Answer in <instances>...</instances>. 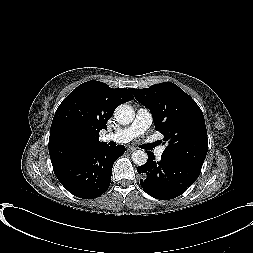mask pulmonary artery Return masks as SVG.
<instances>
[{
  "label": "pulmonary artery",
  "instance_id": "1",
  "mask_svg": "<svg viewBox=\"0 0 253 253\" xmlns=\"http://www.w3.org/2000/svg\"><path fill=\"white\" fill-rule=\"evenodd\" d=\"M153 121L150 111L146 108H138L133 122L125 128H122L114 133H108L103 137L104 141H114L117 143H126L133 138L144 134ZM164 147L160 146L155 149V156L160 158L163 154Z\"/></svg>",
  "mask_w": 253,
  "mask_h": 253
}]
</instances>
